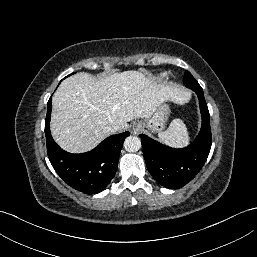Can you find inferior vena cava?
I'll use <instances>...</instances> for the list:
<instances>
[{
  "label": "inferior vena cava",
  "mask_w": 257,
  "mask_h": 257,
  "mask_svg": "<svg viewBox=\"0 0 257 257\" xmlns=\"http://www.w3.org/2000/svg\"><path fill=\"white\" fill-rule=\"evenodd\" d=\"M105 129L110 133H115L119 129V127L115 124H111L106 126Z\"/></svg>",
  "instance_id": "1"
}]
</instances>
